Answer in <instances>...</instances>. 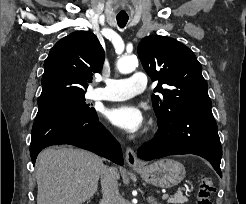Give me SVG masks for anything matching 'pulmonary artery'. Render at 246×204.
I'll use <instances>...</instances> for the list:
<instances>
[{"instance_id": "1", "label": "pulmonary artery", "mask_w": 246, "mask_h": 204, "mask_svg": "<svg viewBox=\"0 0 246 204\" xmlns=\"http://www.w3.org/2000/svg\"><path fill=\"white\" fill-rule=\"evenodd\" d=\"M105 87L95 89L91 97L98 100L121 101L129 99L146 89L147 76L135 72L126 79H107Z\"/></svg>"}]
</instances>
